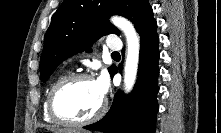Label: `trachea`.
<instances>
[{
  "label": "trachea",
  "mask_w": 221,
  "mask_h": 133,
  "mask_svg": "<svg viewBox=\"0 0 221 133\" xmlns=\"http://www.w3.org/2000/svg\"><path fill=\"white\" fill-rule=\"evenodd\" d=\"M112 56H114V57H115V56H120V54H119L118 52H113V53H112Z\"/></svg>",
  "instance_id": "trachea-1"
}]
</instances>
